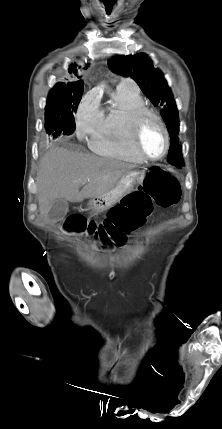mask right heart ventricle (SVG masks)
Wrapping results in <instances>:
<instances>
[{
    "mask_svg": "<svg viewBox=\"0 0 222 429\" xmlns=\"http://www.w3.org/2000/svg\"><path fill=\"white\" fill-rule=\"evenodd\" d=\"M114 103L104 114L97 131L91 136L90 148L97 154L131 163L144 159L134 150L130 141V119L134 111L145 106L136 88L118 87Z\"/></svg>",
    "mask_w": 222,
    "mask_h": 429,
    "instance_id": "right-heart-ventricle-1",
    "label": "right heart ventricle"
}]
</instances>
